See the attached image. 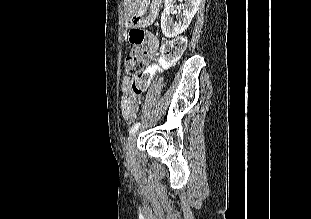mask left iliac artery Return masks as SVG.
I'll return each instance as SVG.
<instances>
[{"instance_id": "obj_1", "label": "left iliac artery", "mask_w": 311, "mask_h": 219, "mask_svg": "<svg viewBox=\"0 0 311 219\" xmlns=\"http://www.w3.org/2000/svg\"><path fill=\"white\" fill-rule=\"evenodd\" d=\"M140 125H141L140 122L135 123V124L130 128L129 134H130V135L134 134V133L138 130V128L140 127Z\"/></svg>"}]
</instances>
